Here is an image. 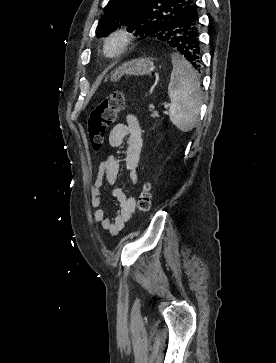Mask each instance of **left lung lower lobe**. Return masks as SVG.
Returning <instances> with one entry per match:
<instances>
[{"instance_id": "left-lung-lower-lobe-1", "label": "left lung lower lobe", "mask_w": 276, "mask_h": 363, "mask_svg": "<svg viewBox=\"0 0 276 363\" xmlns=\"http://www.w3.org/2000/svg\"><path fill=\"white\" fill-rule=\"evenodd\" d=\"M161 40L180 52L190 62L195 72L200 71L199 22L195 3L179 12L172 31L161 36Z\"/></svg>"}]
</instances>
